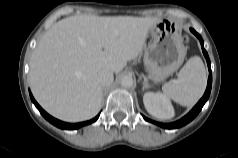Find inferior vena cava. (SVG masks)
<instances>
[{
    "label": "inferior vena cava",
    "mask_w": 238,
    "mask_h": 158,
    "mask_svg": "<svg viewBox=\"0 0 238 158\" xmlns=\"http://www.w3.org/2000/svg\"><path fill=\"white\" fill-rule=\"evenodd\" d=\"M97 80L101 86H108L113 82L114 76L111 71L103 69L98 72Z\"/></svg>",
    "instance_id": "inferior-vena-cava-1"
}]
</instances>
